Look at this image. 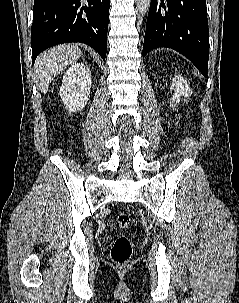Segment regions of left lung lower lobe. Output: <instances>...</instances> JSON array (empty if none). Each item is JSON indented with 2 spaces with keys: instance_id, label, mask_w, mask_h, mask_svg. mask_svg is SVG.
Instances as JSON below:
<instances>
[{
  "instance_id": "1",
  "label": "left lung lower lobe",
  "mask_w": 239,
  "mask_h": 303,
  "mask_svg": "<svg viewBox=\"0 0 239 303\" xmlns=\"http://www.w3.org/2000/svg\"><path fill=\"white\" fill-rule=\"evenodd\" d=\"M159 47L181 53L208 78L206 0H151L142 56Z\"/></svg>"
}]
</instances>
